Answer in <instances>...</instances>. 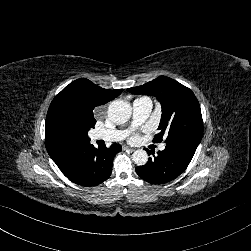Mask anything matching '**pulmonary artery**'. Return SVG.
Returning a JSON list of instances; mask_svg holds the SVG:
<instances>
[{
	"label": "pulmonary artery",
	"instance_id": "obj_1",
	"mask_svg": "<svg viewBox=\"0 0 251 251\" xmlns=\"http://www.w3.org/2000/svg\"><path fill=\"white\" fill-rule=\"evenodd\" d=\"M152 101L148 97H141L137 98L133 102V118L135 122H141L148 118L152 111ZM100 138L110 140V141H117L122 138V133L119 131H108L99 135ZM160 150H164L168 143L165 140H162L159 143Z\"/></svg>",
	"mask_w": 251,
	"mask_h": 251
}]
</instances>
